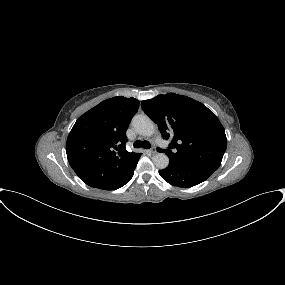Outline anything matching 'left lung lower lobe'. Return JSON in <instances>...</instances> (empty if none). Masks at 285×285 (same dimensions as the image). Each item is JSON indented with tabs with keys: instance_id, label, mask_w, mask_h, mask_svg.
<instances>
[{
	"instance_id": "0a47b994",
	"label": "left lung lower lobe",
	"mask_w": 285,
	"mask_h": 285,
	"mask_svg": "<svg viewBox=\"0 0 285 285\" xmlns=\"http://www.w3.org/2000/svg\"><path fill=\"white\" fill-rule=\"evenodd\" d=\"M159 174L173 186L188 188L205 181L213 174V171L170 163L166 169L159 170Z\"/></svg>"
}]
</instances>
